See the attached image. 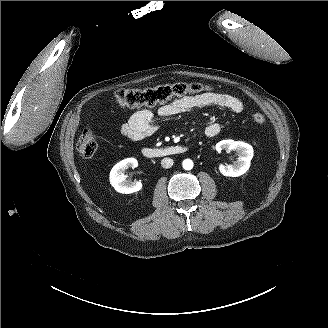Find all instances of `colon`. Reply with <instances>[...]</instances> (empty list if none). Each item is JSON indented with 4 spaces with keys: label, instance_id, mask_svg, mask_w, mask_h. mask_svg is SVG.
I'll return each mask as SVG.
<instances>
[{
    "label": "colon",
    "instance_id": "obj_1",
    "mask_svg": "<svg viewBox=\"0 0 328 328\" xmlns=\"http://www.w3.org/2000/svg\"><path fill=\"white\" fill-rule=\"evenodd\" d=\"M210 87L202 83H174L145 89H121L114 94V100L121 106L140 107L164 103L173 97L207 92ZM253 121L259 125L265 123L261 113H254ZM77 150L82 157L91 158L97 151V142L90 129H84L77 142Z\"/></svg>",
    "mask_w": 328,
    "mask_h": 328
}]
</instances>
